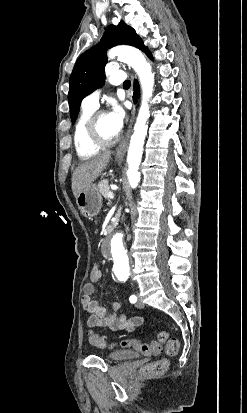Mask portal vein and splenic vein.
I'll return each mask as SVG.
<instances>
[{"instance_id":"portal-vein-and-splenic-vein-1","label":"portal vein and splenic vein","mask_w":247,"mask_h":413,"mask_svg":"<svg viewBox=\"0 0 247 413\" xmlns=\"http://www.w3.org/2000/svg\"><path fill=\"white\" fill-rule=\"evenodd\" d=\"M107 196H108V198H114V192H111V190H110V192H108Z\"/></svg>"}]
</instances>
